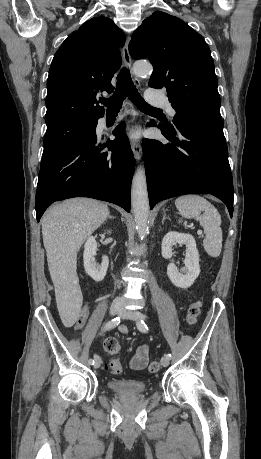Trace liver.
Wrapping results in <instances>:
<instances>
[{"instance_id": "liver-1", "label": "liver", "mask_w": 261, "mask_h": 459, "mask_svg": "<svg viewBox=\"0 0 261 459\" xmlns=\"http://www.w3.org/2000/svg\"><path fill=\"white\" fill-rule=\"evenodd\" d=\"M108 216L106 204L90 198H72L50 208L42 219L43 243L58 311L69 326L75 323L82 302L77 253Z\"/></svg>"}]
</instances>
